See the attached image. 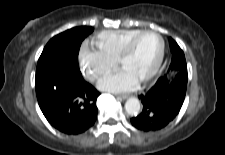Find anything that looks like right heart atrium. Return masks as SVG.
Returning a JSON list of instances; mask_svg holds the SVG:
<instances>
[{
  "label": "right heart atrium",
  "mask_w": 225,
  "mask_h": 155,
  "mask_svg": "<svg viewBox=\"0 0 225 155\" xmlns=\"http://www.w3.org/2000/svg\"><path fill=\"white\" fill-rule=\"evenodd\" d=\"M78 58L83 75L92 82L98 81L116 64V60L87 44L81 46Z\"/></svg>",
  "instance_id": "1"
}]
</instances>
